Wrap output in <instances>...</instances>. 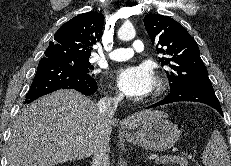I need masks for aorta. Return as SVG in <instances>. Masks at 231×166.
<instances>
[{
  "label": "aorta",
  "instance_id": "aorta-1",
  "mask_svg": "<svg viewBox=\"0 0 231 166\" xmlns=\"http://www.w3.org/2000/svg\"><path fill=\"white\" fill-rule=\"evenodd\" d=\"M136 36V31L131 23H125L118 31V38L122 41H129Z\"/></svg>",
  "mask_w": 231,
  "mask_h": 166
}]
</instances>
